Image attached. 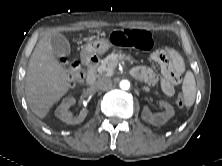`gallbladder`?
<instances>
[{"label":"gallbladder","instance_id":"obj_1","mask_svg":"<svg viewBox=\"0 0 222 166\" xmlns=\"http://www.w3.org/2000/svg\"><path fill=\"white\" fill-rule=\"evenodd\" d=\"M51 46L57 56L67 57L70 55L69 41L62 34H56L51 37Z\"/></svg>","mask_w":222,"mask_h":166}]
</instances>
